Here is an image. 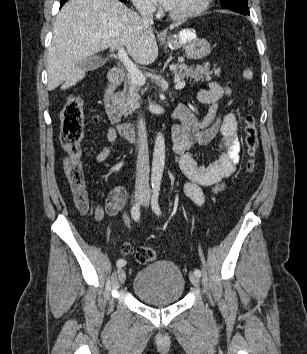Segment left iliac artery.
I'll list each match as a JSON object with an SVG mask.
<instances>
[{"instance_id": "44dca946", "label": "left iliac artery", "mask_w": 307, "mask_h": 354, "mask_svg": "<svg viewBox=\"0 0 307 354\" xmlns=\"http://www.w3.org/2000/svg\"><path fill=\"white\" fill-rule=\"evenodd\" d=\"M159 191H160V185L159 184L153 185L151 204H152L153 211L157 215H161V210L158 203ZM194 273L199 277L201 276V271L199 269H195Z\"/></svg>"}]
</instances>
